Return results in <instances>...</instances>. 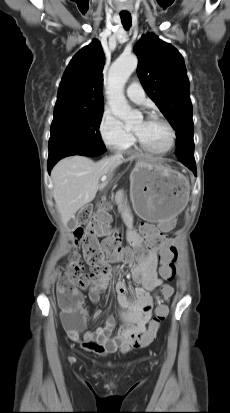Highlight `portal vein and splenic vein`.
I'll use <instances>...</instances> for the list:
<instances>
[{
  "label": "portal vein and splenic vein",
  "mask_w": 230,
  "mask_h": 413,
  "mask_svg": "<svg viewBox=\"0 0 230 413\" xmlns=\"http://www.w3.org/2000/svg\"><path fill=\"white\" fill-rule=\"evenodd\" d=\"M106 179H107V176L105 175L101 177V181H106Z\"/></svg>",
  "instance_id": "portal-vein-and-splenic-vein-1"
}]
</instances>
